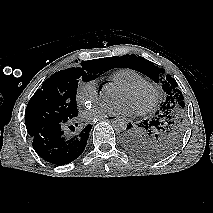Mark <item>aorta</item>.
Segmentation results:
<instances>
[{
	"label": "aorta",
	"mask_w": 213,
	"mask_h": 213,
	"mask_svg": "<svg viewBox=\"0 0 213 213\" xmlns=\"http://www.w3.org/2000/svg\"><path fill=\"white\" fill-rule=\"evenodd\" d=\"M100 98L107 103L113 102L116 98L115 88L110 84L104 86L100 91ZM112 126L115 131L122 132L127 128V121L124 118H116L113 120Z\"/></svg>",
	"instance_id": "1"
}]
</instances>
